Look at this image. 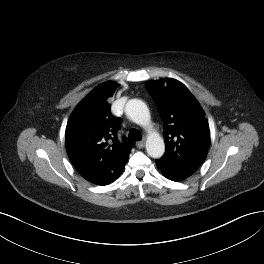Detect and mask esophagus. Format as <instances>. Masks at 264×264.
<instances>
[{"instance_id":"obj_1","label":"esophagus","mask_w":264,"mask_h":264,"mask_svg":"<svg viewBox=\"0 0 264 264\" xmlns=\"http://www.w3.org/2000/svg\"><path fill=\"white\" fill-rule=\"evenodd\" d=\"M145 146V141H138L136 142V147L141 149Z\"/></svg>"}]
</instances>
